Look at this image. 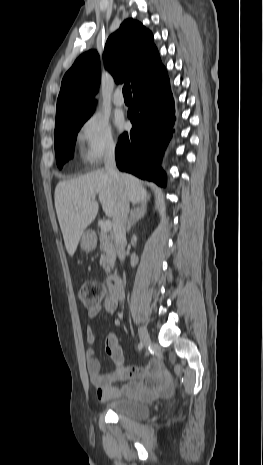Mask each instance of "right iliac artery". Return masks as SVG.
<instances>
[{
  "label": "right iliac artery",
  "mask_w": 263,
  "mask_h": 465,
  "mask_svg": "<svg viewBox=\"0 0 263 465\" xmlns=\"http://www.w3.org/2000/svg\"><path fill=\"white\" fill-rule=\"evenodd\" d=\"M142 348H143V344L140 342V343L138 344V349L141 350Z\"/></svg>",
  "instance_id": "1"
}]
</instances>
